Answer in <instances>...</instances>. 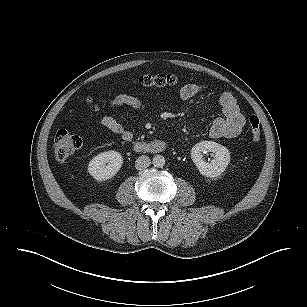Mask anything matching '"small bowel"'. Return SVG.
Instances as JSON below:
<instances>
[{"label":"small bowel","mask_w":307,"mask_h":307,"mask_svg":"<svg viewBox=\"0 0 307 307\" xmlns=\"http://www.w3.org/2000/svg\"><path fill=\"white\" fill-rule=\"evenodd\" d=\"M201 91V87L195 83H188L180 90V96L183 100H189L195 97ZM219 104L222 108L223 116L216 117L210 127L209 135L213 138H235L241 134L245 119L240 112L234 96L229 92H224L219 97ZM120 106H128L136 111H143L146 104L135 96L129 94H120L110 103V108L114 109ZM103 127L118 135L123 141L131 142L133 132L127 130L124 125L110 115H103L100 119Z\"/></svg>","instance_id":"small-bowel-1"}]
</instances>
